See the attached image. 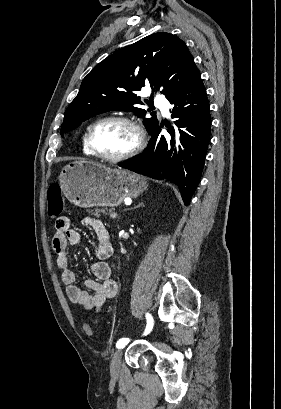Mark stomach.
Returning <instances> with one entry per match:
<instances>
[{
  "label": "stomach",
  "mask_w": 281,
  "mask_h": 409,
  "mask_svg": "<svg viewBox=\"0 0 281 409\" xmlns=\"http://www.w3.org/2000/svg\"><path fill=\"white\" fill-rule=\"evenodd\" d=\"M58 178L64 196L82 209L117 207L125 196L135 198L148 186L140 174L84 158L66 164Z\"/></svg>",
  "instance_id": "1"
}]
</instances>
